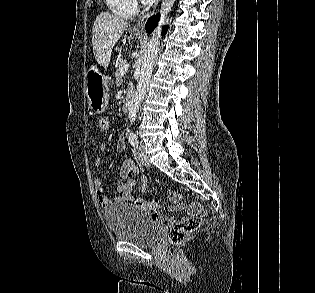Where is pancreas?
Here are the masks:
<instances>
[{
	"label": "pancreas",
	"instance_id": "cf45deb5",
	"mask_svg": "<svg viewBox=\"0 0 315 293\" xmlns=\"http://www.w3.org/2000/svg\"><path fill=\"white\" fill-rule=\"evenodd\" d=\"M125 63V60L123 59H120L117 63V68H116V81H115V84L117 86L121 85L122 81H123V74L121 72L122 70V67Z\"/></svg>",
	"mask_w": 315,
	"mask_h": 293
}]
</instances>
